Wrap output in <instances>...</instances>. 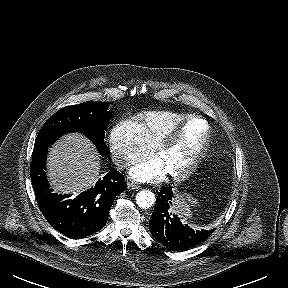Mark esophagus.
Masks as SVG:
<instances>
[{
  "mask_svg": "<svg viewBox=\"0 0 288 288\" xmlns=\"http://www.w3.org/2000/svg\"><path fill=\"white\" fill-rule=\"evenodd\" d=\"M127 187H128V189H130V190H135V189H138L140 186L137 185L136 183L128 182V183H127Z\"/></svg>",
  "mask_w": 288,
  "mask_h": 288,
  "instance_id": "1",
  "label": "esophagus"
}]
</instances>
